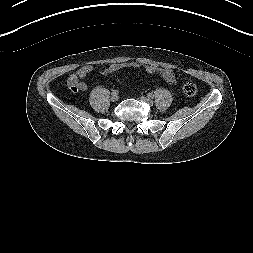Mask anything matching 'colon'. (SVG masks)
I'll return each mask as SVG.
<instances>
[{
    "label": "colon",
    "instance_id": "colon-1",
    "mask_svg": "<svg viewBox=\"0 0 253 253\" xmlns=\"http://www.w3.org/2000/svg\"><path fill=\"white\" fill-rule=\"evenodd\" d=\"M79 76L76 74V75H72L70 78H69V81H68V87L70 90L74 91V92H77L79 90L78 88V83H79ZM183 92L187 95V96H194L196 93H197V86L194 82L192 81H189V82H186L183 86Z\"/></svg>",
    "mask_w": 253,
    "mask_h": 253
}]
</instances>
